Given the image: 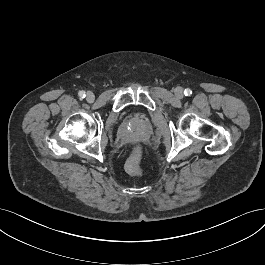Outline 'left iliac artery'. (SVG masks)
I'll return each instance as SVG.
<instances>
[{
	"mask_svg": "<svg viewBox=\"0 0 265 265\" xmlns=\"http://www.w3.org/2000/svg\"><path fill=\"white\" fill-rule=\"evenodd\" d=\"M184 94H185V96H190L192 94V90L187 88V89H185Z\"/></svg>",
	"mask_w": 265,
	"mask_h": 265,
	"instance_id": "44dca946",
	"label": "left iliac artery"
}]
</instances>
